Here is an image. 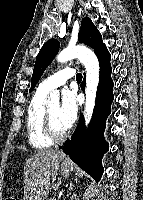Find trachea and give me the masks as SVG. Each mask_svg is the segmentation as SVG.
Masks as SVG:
<instances>
[{
    "label": "trachea",
    "mask_w": 143,
    "mask_h": 200,
    "mask_svg": "<svg viewBox=\"0 0 143 200\" xmlns=\"http://www.w3.org/2000/svg\"><path fill=\"white\" fill-rule=\"evenodd\" d=\"M76 80H77L78 82L82 81V75H81L80 73H77V75H76Z\"/></svg>",
    "instance_id": "trachea-1"
}]
</instances>
